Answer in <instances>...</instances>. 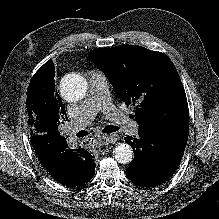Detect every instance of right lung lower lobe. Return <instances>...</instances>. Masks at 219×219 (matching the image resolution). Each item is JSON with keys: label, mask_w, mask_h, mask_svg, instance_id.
<instances>
[{"label": "right lung lower lobe", "mask_w": 219, "mask_h": 219, "mask_svg": "<svg viewBox=\"0 0 219 219\" xmlns=\"http://www.w3.org/2000/svg\"><path fill=\"white\" fill-rule=\"evenodd\" d=\"M39 159L50 175L66 186H80L95 172L94 157L85 149H70L64 137L38 134L31 139Z\"/></svg>", "instance_id": "98d812e1"}]
</instances>
